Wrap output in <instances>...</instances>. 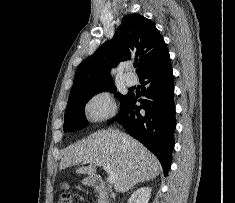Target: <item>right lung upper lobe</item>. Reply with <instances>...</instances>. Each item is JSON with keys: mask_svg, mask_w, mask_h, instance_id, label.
Segmentation results:
<instances>
[{"mask_svg": "<svg viewBox=\"0 0 235 203\" xmlns=\"http://www.w3.org/2000/svg\"><path fill=\"white\" fill-rule=\"evenodd\" d=\"M131 57H139V77L147 69L170 58L167 45L155 24L139 14L125 16L113 38L78 66L70 94L112 81L110 68Z\"/></svg>", "mask_w": 235, "mask_h": 203, "instance_id": "obj_1", "label": "right lung upper lobe"}]
</instances>
